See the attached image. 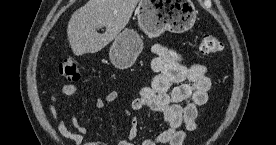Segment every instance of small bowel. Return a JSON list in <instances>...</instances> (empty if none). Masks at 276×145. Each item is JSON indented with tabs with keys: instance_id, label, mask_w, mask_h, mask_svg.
<instances>
[{
	"instance_id": "1",
	"label": "small bowel",
	"mask_w": 276,
	"mask_h": 145,
	"mask_svg": "<svg viewBox=\"0 0 276 145\" xmlns=\"http://www.w3.org/2000/svg\"><path fill=\"white\" fill-rule=\"evenodd\" d=\"M152 50L155 57L151 66L155 76L149 86L140 89L139 96L131 103V110L136 112L142 108H149L156 111L162 115L167 128L154 137L145 139L142 145H182L187 132L197 128L199 107L208 101V92L211 88L208 70L203 64H183L181 55L166 46L156 44ZM77 91L75 85H64L48 98L47 110L59 133L72 140L74 145H81L88 132L87 127L78 117L72 116L71 124L75 131L70 130L66 118L59 114L57 109L58 102L65 101ZM118 98L119 93L111 90L104 99L98 98L95 104L102 110L107 104L116 103ZM125 114L130 117L129 111ZM182 126L184 129H181ZM138 132L139 120L132 117L118 145H134ZM85 145H108V142L92 140Z\"/></svg>"
}]
</instances>
